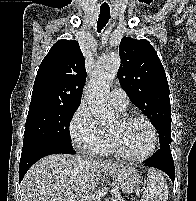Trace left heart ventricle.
I'll return each mask as SVG.
<instances>
[{
  "instance_id": "left-heart-ventricle-1",
  "label": "left heart ventricle",
  "mask_w": 196,
  "mask_h": 201,
  "mask_svg": "<svg viewBox=\"0 0 196 201\" xmlns=\"http://www.w3.org/2000/svg\"><path fill=\"white\" fill-rule=\"evenodd\" d=\"M125 152L133 156L146 153L152 144L150 128L142 121L123 122L118 118L109 128Z\"/></svg>"
}]
</instances>
